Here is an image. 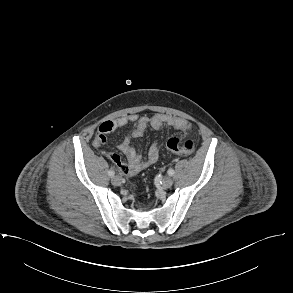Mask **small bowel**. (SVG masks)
<instances>
[{"instance_id": "1", "label": "small bowel", "mask_w": 293, "mask_h": 293, "mask_svg": "<svg viewBox=\"0 0 293 293\" xmlns=\"http://www.w3.org/2000/svg\"><path fill=\"white\" fill-rule=\"evenodd\" d=\"M135 124L130 135L124 138L119 144V150L126 156L128 163H124L117 154L109 153L107 156L117 166L119 171L128 176H133L153 165L159 158V145L153 142L147 152L146 157H142L131 145V140L141 138L148 128L159 130L165 126L172 127L176 130L189 135L193 131L190 122L180 117L167 114H155L153 116H141L136 114L124 115L116 119L106 120L97 128L93 139V147L100 148L105 142L107 135L123 128L128 124Z\"/></svg>"}]
</instances>
